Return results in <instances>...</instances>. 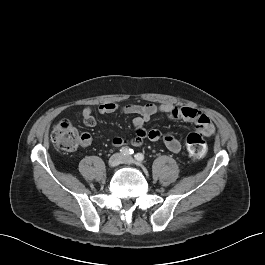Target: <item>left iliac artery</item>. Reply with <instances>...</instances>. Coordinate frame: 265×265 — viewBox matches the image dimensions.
Here are the masks:
<instances>
[{"instance_id":"obj_1","label":"left iliac artery","mask_w":265,"mask_h":265,"mask_svg":"<svg viewBox=\"0 0 265 265\" xmlns=\"http://www.w3.org/2000/svg\"><path fill=\"white\" fill-rule=\"evenodd\" d=\"M134 157L139 162H142L144 160V155L142 153H137Z\"/></svg>"}]
</instances>
